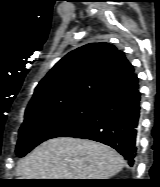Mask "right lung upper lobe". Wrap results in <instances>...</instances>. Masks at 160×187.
Segmentation results:
<instances>
[{
	"label": "right lung upper lobe",
	"mask_w": 160,
	"mask_h": 187,
	"mask_svg": "<svg viewBox=\"0 0 160 187\" xmlns=\"http://www.w3.org/2000/svg\"><path fill=\"white\" fill-rule=\"evenodd\" d=\"M134 73L125 54L109 43H90L68 53L35 88L26 110L75 99H100Z\"/></svg>",
	"instance_id": "right-lung-upper-lobe-1"
}]
</instances>
